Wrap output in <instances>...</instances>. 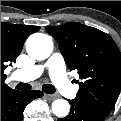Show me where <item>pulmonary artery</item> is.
<instances>
[{
  "label": "pulmonary artery",
  "instance_id": "pulmonary-artery-1",
  "mask_svg": "<svg viewBox=\"0 0 121 121\" xmlns=\"http://www.w3.org/2000/svg\"><path fill=\"white\" fill-rule=\"evenodd\" d=\"M45 70L49 72L51 80L54 82L59 92L74 98L77 88L73 87L64 73L63 58L60 54L52 55L45 63L29 66L14 72V77L31 81L38 78Z\"/></svg>",
  "mask_w": 121,
  "mask_h": 121
}]
</instances>
